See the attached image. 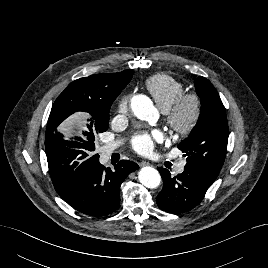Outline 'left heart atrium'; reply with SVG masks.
Wrapping results in <instances>:
<instances>
[{
    "label": "left heart atrium",
    "instance_id": "left-heart-atrium-1",
    "mask_svg": "<svg viewBox=\"0 0 268 268\" xmlns=\"http://www.w3.org/2000/svg\"><path fill=\"white\" fill-rule=\"evenodd\" d=\"M164 135L160 130L142 132L132 140L133 149L142 155H150L153 152L155 143L162 142Z\"/></svg>",
    "mask_w": 268,
    "mask_h": 268
}]
</instances>
